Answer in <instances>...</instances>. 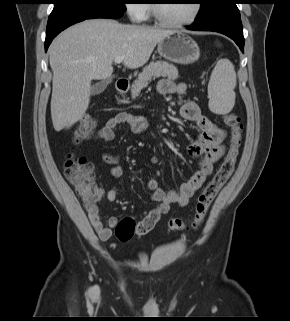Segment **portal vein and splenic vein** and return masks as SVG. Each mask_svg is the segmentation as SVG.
<instances>
[{
    "label": "portal vein and splenic vein",
    "instance_id": "18ae733b",
    "mask_svg": "<svg viewBox=\"0 0 290 321\" xmlns=\"http://www.w3.org/2000/svg\"><path fill=\"white\" fill-rule=\"evenodd\" d=\"M123 59H124V57L119 56V57H116V58L114 59V61H115V63L119 64V63H121V62L123 61Z\"/></svg>",
    "mask_w": 290,
    "mask_h": 321
}]
</instances>
